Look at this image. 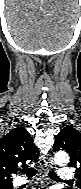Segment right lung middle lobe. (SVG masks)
<instances>
[{"instance_id":"dd1d6c3e","label":"right lung middle lobe","mask_w":81,"mask_h":189,"mask_svg":"<svg viewBox=\"0 0 81 189\" xmlns=\"http://www.w3.org/2000/svg\"><path fill=\"white\" fill-rule=\"evenodd\" d=\"M0 189H13L12 184L0 186Z\"/></svg>"}]
</instances>
